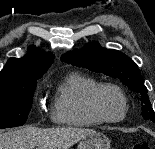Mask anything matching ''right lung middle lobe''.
Returning <instances> with one entry per match:
<instances>
[{
  "mask_svg": "<svg viewBox=\"0 0 155 149\" xmlns=\"http://www.w3.org/2000/svg\"><path fill=\"white\" fill-rule=\"evenodd\" d=\"M39 78L0 80V129L26 122Z\"/></svg>",
  "mask_w": 155,
  "mask_h": 149,
  "instance_id": "obj_1",
  "label": "right lung middle lobe"
}]
</instances>
